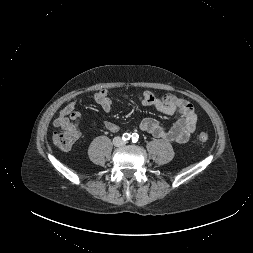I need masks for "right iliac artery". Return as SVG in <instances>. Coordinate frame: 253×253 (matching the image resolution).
Returning <instances> with one entry per match:
<instances>
[{
    "instance_id": "82829eb1",
    "label": "right iliac artery",
    "mask_w": 253,
    "mask_h": 253,
    "mask_svg": "<svg viewBox=\"0 0 253 253\" xmlns=\"http://www.w3.org/2000/svg\"><path fill=\"white\" fill-rule=\"evenodd\" d=\"M131 135L129 133H124L123 136H122V139L124 141H128L130 139Z\"/></svg>"
}]
</instances>
